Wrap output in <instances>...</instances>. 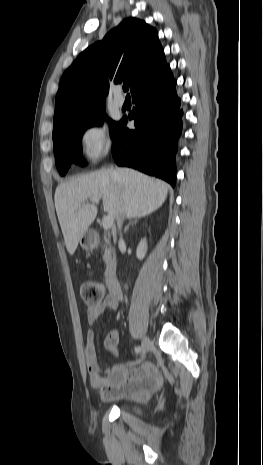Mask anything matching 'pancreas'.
I'll return each instance as SVG.
<instances>
[{"mask_svg":"<svg viewBox=\"0 0 263 465\" xmlns=\"http://www.w3.org/2000/svg\"><path fill=\"white\" fill-rule=\"evenodd\" d=\"M104 241H105V244H104L105 251L103 254V260L106 264H109L112 261V254L113 256H115V252L113 248L111 247L109 239L104 237Z\"/></svg>","mask_w":263,"mask_h":465,"instance_id":"cf45deb5","label":"pancreas"}]
</instances>
